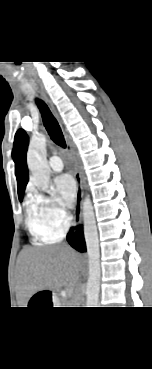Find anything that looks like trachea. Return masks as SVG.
Here are the masks:
<instances>
[{"mask_svg":"<svg viewBox=\"0 0 152 369\" xmlns=\"http://www.w3.org/2000/svg\"><path fill=\"white\" fill-rule=\"evenodd\" d=\"M36 102H37V105L40 109L44 126H45L50 138L52 139V141L54 143H56L57 145L65 148L66 143H65L63 133L61 131V128H60L57 120L52 115V113L49 110L48 106L42 100H37Z\"/></svg>","mask_w":152,"mask_h":369,"instance_id":"1","label":"trachea"}]
</instances>
